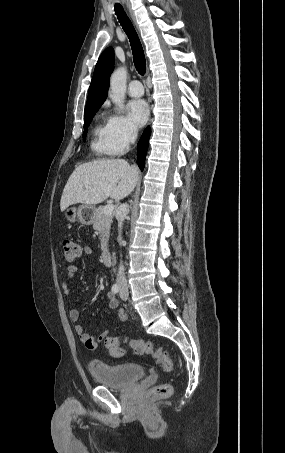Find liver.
I'll return each instance as SVG.
<instances>
[{
	"instance_id": "1",
	"label": "liver",
	"mask_w": 285,
	"mask_h": 453,
	"mask_svg": "<svg viewBox=\"0 0 285 453\" xmlns=\"http://www.w3.org/2000/svg\"><path fill=\"white\" fill-rule=\"evenodd\" d=\"M139 170L123 159H99L79 165L69 177L60 201L63 212L70 205H95L108 197L120 200L135 188Z\"/></svg>"
}]
</instances>
